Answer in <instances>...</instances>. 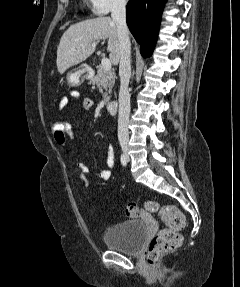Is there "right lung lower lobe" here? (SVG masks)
<instances>
[{
    "label": "right lung lower lobe",
    "instance_id": "98d812e1",
    "mask_svg": "<svg viewBox=\"0 0 240 287\" xmlns=\"http://www.w3.org/2000/svg\"><path fill=\"white\" fill-rule=\"evenodd\" d=\"M165 1L129 0L127 4V25L144 57L150 56L154 48Z\"/></svg>",
    "mask_w": 240,
    "mask_h": 287
}]
</instances>
